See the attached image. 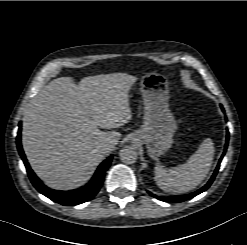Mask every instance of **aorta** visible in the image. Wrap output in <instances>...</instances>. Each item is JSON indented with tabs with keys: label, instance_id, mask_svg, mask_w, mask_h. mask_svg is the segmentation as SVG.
Segmentation results:
<instances>
[{
	"label": "aorta",
	"instance_id": "obj_1",
	"mask_svg": "<svg viewBox=\"0 0 247 245\" xmlns=\"http://www.w3.org/2000/svg\"><path fill=\"white\" fill-rule=\"evenodd\" d=\"M119 157L123 163L133 164L137 161L138 153L133 147L126 146L120 150Z\"/></svg>",
	"mask_w": 247,
	"mask_h": 245
}]
</instances>
